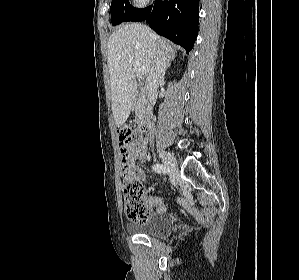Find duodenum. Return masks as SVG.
<instances>
[{
  "label": "duodenum",
  "mask_w": 299,
  "mask_h": 280,
  "mask_svg": "<svg viewBox=\"0 0 299 280\" xmlns=\"http://www.w3.org/2000/svg\"><path fill=\"white\" fill-rule=\"evenodd\" d=\"M145 97H146V93L142 91L139 94V98L144 99ZM151 128H152V126H151V123L149 121H146V120L142 121L140 126H139V132H140L141 137L146 138L150 134Z\"/></svg>",
  "instance_id": "duodenum-1"
}]
</instances>
